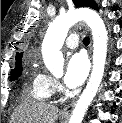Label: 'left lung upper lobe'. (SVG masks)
<instances>
[{"instance_id":"left-lung-upper-lobe-1","label":"left lung upper lobe","mask_w":122,"mask_h":123,"mask_svg":"<svg viewBox=\"0 0 122 123\" xmlns=\"http://www.w3.org/2000/svg\"><path fill=\"white\" fill-rule=\"evenodd\" d=\"M73 2L78 7H91L93 9H98L93 0H73Z\"/></svg>"}]
</instances>
